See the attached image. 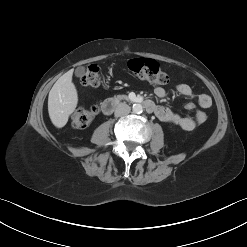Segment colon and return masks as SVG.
<instances>
[{
  "mask_svg": "<svg viewBox=\"0 0 247 247\" xmlns=\"http://www.w3.org/2000/svg\"><path fill=\"white\" fill-rule=\"evenodd\" d=\"M128 70L133 77L147 80L155 85H167L170 82L169 75L163 71L160 64L149 58H135L128 62ZM101 82L100 69L97 65H90L81 77V83L87 87H97ZM185 109L194 110L195 104L185 103ZM97 113L96 107L77 108L72 115V125L75 128H85L94 119Z\"/></svg>",
  "mask_w": 247,
  "mask_h": 247,
  "instance_id": "1",
  "label": "colon"
}]
</instances>
